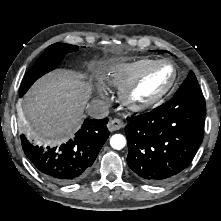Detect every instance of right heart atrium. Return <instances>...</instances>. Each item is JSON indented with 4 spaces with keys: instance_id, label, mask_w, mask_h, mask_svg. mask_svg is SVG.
Masks as SVG:
<instances>
[{
    "instance_id": "right-heart-atrium-1",
    "label": "right heart atrium",
    "mask_w": 221,
    "mask_h": 221,
    "mask_svg": "<svg viewBox=\"0 0 221 221\" xmlns=\"http://www.w3.org/2000/svg\"><path fill=\"white\" fill-rule=\"evenodd\" d=\"M96 89H97V92H98V94H99L100 96H105V93H104L103 88L97 86Z\"/></svg>"
}]
</instances>
